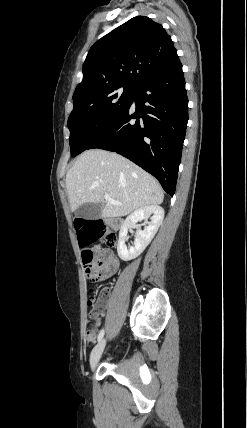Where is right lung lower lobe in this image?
I'll use <instances>...</instances> for the list:
<instances>
[{
    "label": "right lung lower lobe",
    "instance_id": "obj_1",
    "mask_svg": "<svg viewBox=\"0 0 247 428\" xmlns=\"http://www.w3.org/2000/svg\"><path fill=\"white\" fill-rule=\"evenodd\" d=\"M187 122L188 98L177 58L135 89L124 112L88 149L123 155L155 176L173 196Z\"/></svg>",
    "mask_w": 247,
    "mask_h": 428
}]
</instances>
